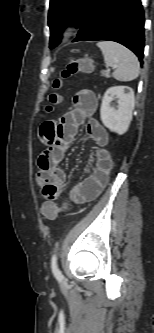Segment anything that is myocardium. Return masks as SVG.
Listing matches in <instances>:
<instances>
[{"instance_id": "1", "label": "myocardium", "mask_w": 154, "mask_h": 333, "mask_svg": "<svg viewBox=\"0 0 154 333\" xmlns=\"http://www.w3.org/2000/svg\"><path fill=\"white\" fill-rule=\"evenodd\" d=\"M69 34H70L69 29H64V30L62 31V35H63L64 37L69 36Z\"/></svg>"}]
</instances>
